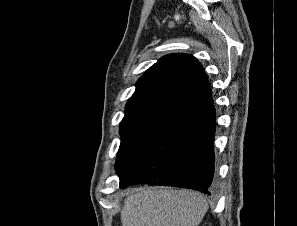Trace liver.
I'll return each mask as SVG.
<instances>
[{
    "instance_id": "obj_1",
    "label": "liver",
    "mask_w": 297,
    "mask_h": 226,
    "mask_svg": "<svg viewBox=\"0 0 297 226\" xmlns=\"http://www.w3.org/2000/svg\"><path fill=\"white\" fill-rule=\"evenodd\" d=\"M208 210L205 198L190 190L135 188L121 210L122 226H198Z\"/></svg>"
}]
</instances>
